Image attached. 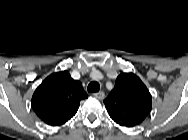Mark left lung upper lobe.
Returning <instances> with one entry per match:
<instances>
[{
    "instance_id": "left-lung-upper-lobe-1",
    "label": "left lung upper lobe",
    "mask_w": 188,
    "mask_h": 140,
    "mask_svg": "<svg viewBox=\"0 0 188 140\" xmlns=\"http://www.w3.org/2000/svg\"><path fill=\"white\" fill-rule=\"evenodd\" d=\"M104 103L109 116L117 124L134 127L149 115L152 97L139 77L133 73H122Z\"/></svg>"
}]
</instances>
